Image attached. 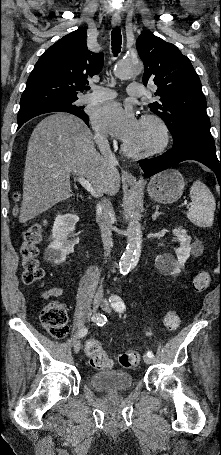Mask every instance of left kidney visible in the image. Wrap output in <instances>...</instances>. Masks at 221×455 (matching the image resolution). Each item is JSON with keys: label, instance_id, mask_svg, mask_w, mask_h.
<instances>
[{"label": "left kidney", "instance_id": "obj_1", "mask_svg": "<svg viewBox=\"0 0 221 455\" xmlns=\"http://www.w3.org/2000/svg\"><path fill=\"white\" fill-rule=\"evenodd\" d=\"M173 234L179 241V248L176 249L177 259L173 258L170 254L158 255L155 260L156 267L162 271L175 275L181 272L185 262L190 256L191 252V237L183 228L173 229Z\"/></svg>", "mask_w": 221, "mask_h": 455}]
</instances>
